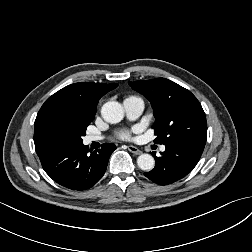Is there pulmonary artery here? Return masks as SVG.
Here are the masks:
<instances>
[{
    "label": "pulmonary artery",
    "mask_w": 252,
    "mask_h": 252,
    "mask_svg": "<svg viewBox=\"0 0 252 252\" xmlns=\"http://www.w3.org/2000/svg\"><path fill=\"white\" fill-rule=\"evenodd\" d=\"M125 114L129 120H135L141 116L144 111V101L138 96H129L123 100ZM103 139L101 135L91 134L86 137V142L91 143ZM161 151H165V146H161Z\"/></svg>",
    "instance_id": "pulmonary-artery-1"
}]
</instances>
